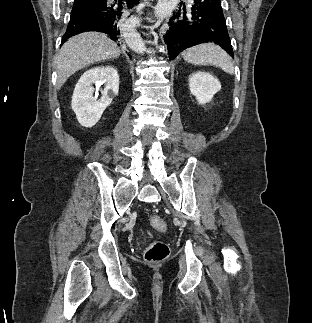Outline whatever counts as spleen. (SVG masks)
Segmentation results:
<instances>
[{
    "label": "spleen",
    "instance_id": "obj_1",
    "mask_svg": "<svg viewBox=\"0 0 312 323\" xmlns=\"http://www.w3.org/2000/svg\"><path fill=\"white\" fill-rule=\"evenodd\" d=\"M185 62L188 64H195V66H218L222 68L226 74H234L233 64L230 56L215 44H199L193 46L186 52H183Z\"/></svg>",
    "mask_w": 312,
    "mask_h": 323
}]
</instances>
